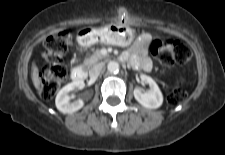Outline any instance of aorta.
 Returning a JSON list of instances; mask_svg holds the SVG:
<instances>
[{"label":"aorta","instance_id":"obj_1","mask_svg":"<svg viewBox=\"0 0 225 155\" xmlns=\"http://www.w3.org/2000/svg\"><path fill=\"white\" fill-rule=\"evenodd\" d=\"M107 69L110 73L119 72V63L116 61H110L107 65Z\"/></svg>","mask_w":225,"mask_h":155}]
</instances>
